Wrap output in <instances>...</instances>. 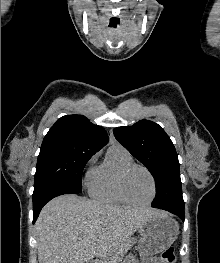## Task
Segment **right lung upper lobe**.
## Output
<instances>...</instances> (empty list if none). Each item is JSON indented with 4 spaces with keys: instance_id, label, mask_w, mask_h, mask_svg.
I'll return each mask as SVG.
<instances>
[{
    "instance_id": "obj_1",
    "label": "right lung upper lobe",
    "mask_w": 220,
    "mask_h": 263,
    "mask_svg": "<svg viewBox=\"0 0 220 263\" xmlns=\"http://www.w3.org/2000/svg\"><path fill=\"white\" fill-rule=\"evenodd\" d=\"M108 142L106 131L82 115L57 120L46 134L41 151L52 149L98 152Z\"/></svg>"
}]
</instances>
